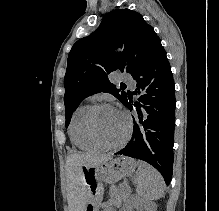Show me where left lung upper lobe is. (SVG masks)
<instances>
[{"label": "left lung upper lobe", "instance_id": "5c2ea615", "mask_svg": "<svg viewBox=\"0 0 219 211\" xmlns=\"http://www.w3.org/2000/svg\"><path fill=\"white\" fill-rule=\"evenodd\" d=\"M123 45V52H114ZM163 50L160 38L139 13L129 9L108 13L98 29L78 40L69 53L64 79L66 127L73 111L89 95L108 92L125 100L127 93L117 89L108 74L119 69L134 75Z\"/></svg>", "mask_w": 219, "mask_h": 211}]
</instances>
